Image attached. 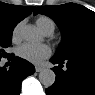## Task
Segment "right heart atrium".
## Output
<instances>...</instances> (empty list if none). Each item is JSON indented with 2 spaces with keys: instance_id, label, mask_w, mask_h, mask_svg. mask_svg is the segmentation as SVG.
I'll use <instances>...</instances> for the list:
<instances>
[{
  "instance_id": "obj_1",
  "label": "right heart atrium",
  "mask_w": 95,
  "mask_h": 95,
  "mask_svg": "<svg viewBox=\"0 0 95 95\" xmlns=\"http://www.w3.org/2000/svg\"><path fill=\"white\" fill-rule=\"evenodd\" d=\"M22 24H23L22 22H19L13 28V30H12V39H13V41H18L20 39V30H21Z\"/></svg>"
}]
</instances>
